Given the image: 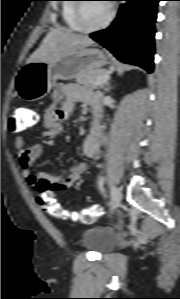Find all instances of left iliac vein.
I'll return each mask as SVG.
<instances>
[{"instance_id":"1","label":"left iliac vein","mask_w":180,"mask_h":299,"mask_svg":"<svg viewBox=\"0 0 180 299\" xmlns=\"http://www.w3.org/2000/svg\"><path fill=\"white\" fill-rule=\"evenodd\" d=\"M121 199V190L117 186H113L111 189V211H114L117 207H119Z\"/></svg>"}]
</instances>
